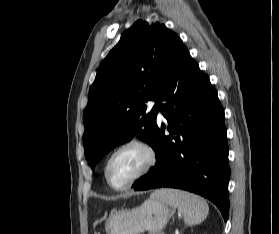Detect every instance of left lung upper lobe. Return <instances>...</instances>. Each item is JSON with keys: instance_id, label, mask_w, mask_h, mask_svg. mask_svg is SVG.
I'll return each instance as SVG.
<instances>
[{"instance_id": "5c2ea615", "label": "left lung upper lobe", "mask_w": 279, "mask_h": 234, "mask_svg": "<svg viewBox=\"0 0 279 234\" xmlns=\"http://www.w3.org/2000/svg\"><path fill=\"white\" fill-rule=\"evenodd\" d=\"M183 47L160 23L138 20L121 35L98 69L83 113L85 158L92 167L135 135L154 148L158 95ZM150 100L156 104L147 113Z\"/></svg>"}]
</instances>
